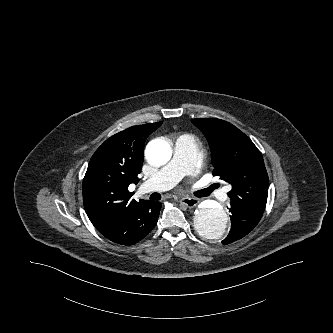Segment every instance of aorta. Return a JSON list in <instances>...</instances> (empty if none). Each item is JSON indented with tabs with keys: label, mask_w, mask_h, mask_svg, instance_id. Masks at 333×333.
Listing matches in <instances>:
<instances>
[{
	"label": "aorta",
	"mask_w": 333,
	"mask_h": 333,
	"mask_svg": "<svg viewBox=\"0 0 333 333\" xmlns=\"http://www.w3.org/2000/svg\"><path fill=\"white\" fill-rule=\"evenodd\" d=\"M147 161L154 166L166 164L172 155L169 143L156 139L146 147ZM198 233L208 239L219 240L225 237L230 229V221L225 209L215 203H201L194 216Z\"/></svg>",
	"instance_id": "aorta-1"
}]
</instances>
